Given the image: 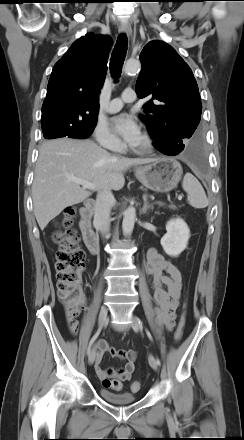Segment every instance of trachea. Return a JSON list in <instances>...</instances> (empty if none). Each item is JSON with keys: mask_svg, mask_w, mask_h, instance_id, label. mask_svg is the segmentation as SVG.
<instances>
[{"mask_svg": "<svg viewBox=\"0 0 244 440\" xmlns=\"http://www.w3.org/2000/svg\"><path fill=\"white\" fill-rule=\"evenodd\" d=\"M127 47V36L125 34L119 35L110 59V71L115 80L120 77L121 69L126 57Z\"/></svg>", "mask_w": 244, "mask_h": 440, "instance_id": "1", "label": "trachea"}]
</instances>
